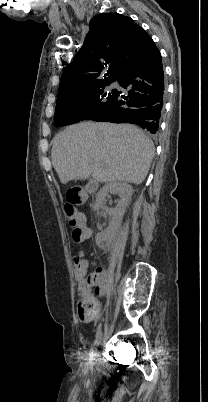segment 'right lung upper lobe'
<instances>
[{
  "label": "right lung upper lobe",
  "mask_w": 208,
  "mask_h": 402,
  "mask_svg": "<svg viewBox=\"0 0 208 402\" xmlns=\"http://www.w3.org/2000/svg\"><path fill=\"white\" fill-rule=\"evenodd\" d=\"M146 32L135 22L118 13H103L90 21L82 48L73 62L64 69L59 91L64 92L104 78L117 79L121 68Z\"/></svg>",
  "instance_id": "obj_1"
}]
</instances>
